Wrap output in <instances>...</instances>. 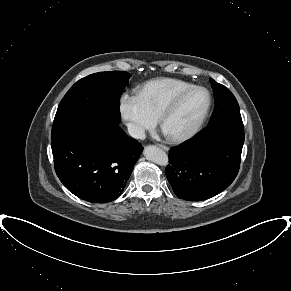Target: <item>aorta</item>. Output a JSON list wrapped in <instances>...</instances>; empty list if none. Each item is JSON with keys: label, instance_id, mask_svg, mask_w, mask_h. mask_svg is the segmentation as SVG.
I'll use <instances>...</instances> for the list:
<instances>
[{"label": "aorta", "instance_id": "762f6f07", "mask_svg": "<svg viewBox=\"0 0 291 291\" xmlns=\"http://www.w3.org/2000/svg\"><path fill=\"white\" fill-rule=\"evenodd\" d=\"M143 154L145 158L153 163H156L161 166H166L168 164V156L167 154L154 145L147 146Z\"/></svg>", "mask_w": 291, "mask_h": 291}]
</instances>
